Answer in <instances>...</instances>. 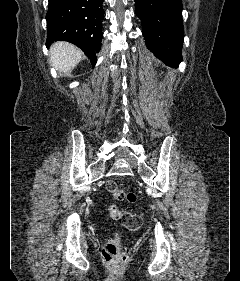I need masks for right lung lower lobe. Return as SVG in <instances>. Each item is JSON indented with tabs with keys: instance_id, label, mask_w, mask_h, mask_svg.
Returning <instances> with one entry per match:
<instances>
[{
	"instance_id": "98d812e1",
	"label": "right lung lower lobe",
	"mask_w": 240,
	"mask_h": 281,
	"mask_svg": "<svg viewBox=\"0 0 240 281\" xmlns=\"http://www.w3.org/2000/svg\"><path fill=\"white\" fill-rule=\"evenodd\" d=\"M103 0H49L46 14L47 47L68 41L81 48L93 65L101 48Z\"/></svg>"
}]
</instances>
